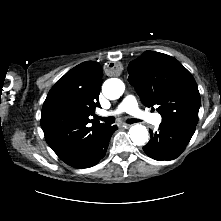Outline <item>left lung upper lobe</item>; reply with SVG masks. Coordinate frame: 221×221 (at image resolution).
<instances>
[{
  "mask_svg": "<svg viewBox=\"0 0 221 221\" xmlns=\"http://www.w3.org/2000/svg\"><path fill=\"white\" fill-rule=\"evenodd\" d=\"M128 81L147 107L157 106L162 122H198L200 94L191 73L175 58L146 51L130 62Z\"/></svg>",
  "mask_w": 221,
  "mask_h": 221,
  "instance_id": "left-lung-upper-lobe-1",
  "label": "left lung upper lobe"
}]
</instances>
